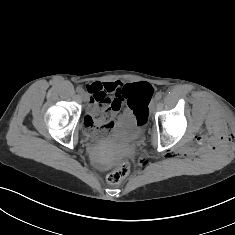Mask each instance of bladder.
Returning <instances> with one entry per match:
<instances>
[{
	"label": "bladder",
	"instance_id": "31cf9c89",
	"mask_svg": "<svg viewBox=\"0 0 235 235\" xmlns=\"http://www.w3.org/2000/svg\"><path fill=\"white\" fill-rule=\"evenodd\" d=\"M113 135L124 141H133L140 138L143 128L137 123L136 118L122 116L115 120Z\"/></svg>",
	"mask_w": 235,
	"mask_h": 235
}]
</instances>
